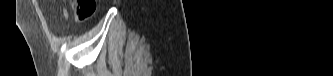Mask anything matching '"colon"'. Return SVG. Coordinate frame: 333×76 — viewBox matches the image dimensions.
I'll list each match as a JSON object with an SVG mask.
<instances>
[{"mask_svg": "<svg viewBox=\"0 0 333 76\" xmlns=\"http://www.w3.org/2000/svg\"><path fill=\"white\" fill-rule=\"evenodd\" d=\"M76 18L79 21H85L91 18L97 9L95 0H76L73 2Z\"/></svg>", "mask_w": 333, "mask_h": 76, "instance_id": "colon-1", "label": "colon"}]
</instances>
